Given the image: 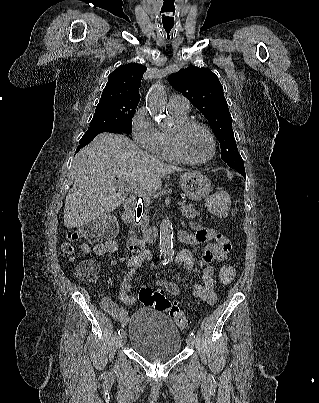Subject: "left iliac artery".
<instances>
[{"label":"left iliac artery","instance_id":"1","mask_svg":"<svg viewBox=\"0 0 319 403\" xmlns=\"http://www.w3.org/2000/svg\"><path fill=\"white\" fill-rule=\"evenodd\" d=\"M190 337L195 338V334L192 332V333L190 334Z\"/></svg>","mask_w":319,"mask_h":403}]
</instances>
